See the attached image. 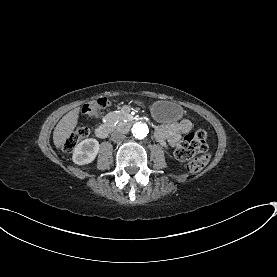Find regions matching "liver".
<instances>
[{"mask_svg":"<svg viewBox=\"0 0 277 277\" xmlns=\"http://www.w3.org/2000/svg\"><path fill=\"white\" fill-rule=\"evenodd\" d=\"M80 111V106L69 111L56 125L53 132V142L57 149H60L65 144L66 140L70 138L76 129Z\"/></svg>","mask_w":277,"mask_h":277,"instance_id":"6515ba94","label":"liver"}]
</instances>
